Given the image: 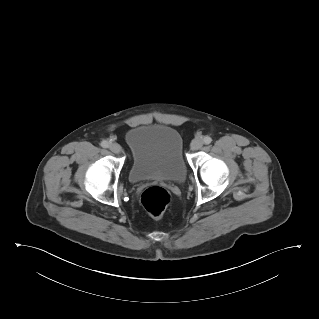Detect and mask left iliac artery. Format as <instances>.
Instances as JSON below:
<instances>
[{
    "mask_svg": "<svg viewBox=\"0 0 319 319\" xmlns=\"http://www.w3.org/2000/svg\"><path fill=\"white\" fill-rule=\"evenodd\" d=\"M203 141H204L205 144H210L212 142V138L209 137V136H206V137H204Z\"/></svg>",
    "mask_w": 319,
    "mask_h": 319,
    "instance_id": "obj_1",
    "label": "left iliac artery"
}]
</instances>
